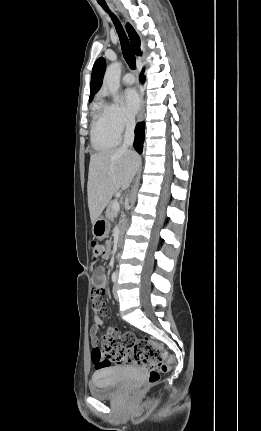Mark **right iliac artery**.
<instances>
[{
	"mask_svg": "<svg viewBox=\"0 0 261 431\" xmlns=\"http://www.w3.org/2000/svg\"><path fill=\"white\" fill-rule=\"evenodd\" d=\"M116 280H117V274H116V272H113V274H112V282L115 283Z\"/></svg>",
	"mask_w": 261,
	"mask_h": 431,
	"instance_id": "1",
	"label": "right iliac artery"
}]
</instances>
